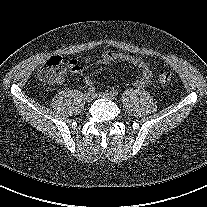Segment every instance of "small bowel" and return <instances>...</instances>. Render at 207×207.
<instances>
[{"label": "small bowel", "instance_id": "1", "mask_svg": "<svg viewBox=\"0 0 207 207\" xmlns=\"http://www.w3.org/2000/svg\"><path fill=\"white\" fill-rule=\"evenodd\" d=\"M115 61H123L135 66L140 70V76L134 81V85L138 88H144L149 85L152 78V71L150 69L149 64L141 58L130 56L127 54L114 52V51H106L103 52L95 62L100 65H107ZM82 62L83 64H81ZM92 60L87 57H83L81 60H71L69 63V70L71 73L75 75H81L84 69L90 66ZM64 81L63 77H60L57 83H62ZM87 85H92L93 81L91 78H86L85 80Z\"/></svg>", "mask_w": 207, "mask_h": 207}]
</instances>
